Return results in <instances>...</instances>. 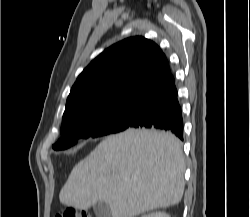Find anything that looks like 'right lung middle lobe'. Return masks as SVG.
Instances as JSON below:
<instances>
[{"label": "right lung middle lobe", "instance_id": "1", "mask_svg": "<svg viewBox=\"0 0 250 217\" xmlns=\"http://www.w3.org/2000/svg\"><path fill=\"white\" fill-rule=\"evenodd\" d=\"M138 101L122 102L86 111L62 122L61 138L52 146L67 149L78 139L96 138L127 129L133 119Z\"/></svg>", "mask_w": 250, "mask_h": 217}]
</instances>
